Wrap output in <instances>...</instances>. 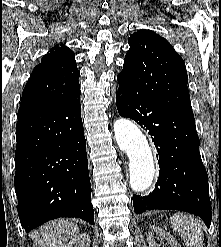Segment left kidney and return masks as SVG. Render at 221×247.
Masks as SVG:
<instances>
[{"mask_svg": "<svg viewBox=\"0 0 221 247\" xmlns=\"http://www.w3.org/2000/svg\"><path fill=\"white\" fill-rule=\"evenodd\" d=\"M156 237H160L161 239H166L170 247H181L177 242V240L171 234L167 233L165 230L156 226L151 227V231L147 236L149 247H158V244L155 241Z\"/></svg>", "mask_w": 221, "mask_h": 247, "instance_id": "left-kidney-1", "label": "left kidney"}]
</instances>
